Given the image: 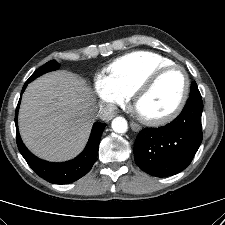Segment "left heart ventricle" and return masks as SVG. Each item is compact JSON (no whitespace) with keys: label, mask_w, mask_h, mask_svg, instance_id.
I'll list each match as a JSON object with an SVG mask.
<instances>
[{"label":"left heart ventricle","mask_w":225,"mask_h":225,"mask_svg":"<svg viewBox=\"0 0 225 225\" xmlns=\"http://www.w3.org/2000/svg\"><path fill=\"white\" fill-rule=\"evenodd\" d=\"M184 76L180 70L164 74L138 103V112L147 117L168 113L177 104L183 90Z\"/></svg>","instance_id":"left-heart-ventricle-1"}]
</instances>
